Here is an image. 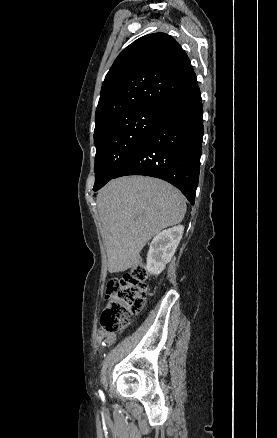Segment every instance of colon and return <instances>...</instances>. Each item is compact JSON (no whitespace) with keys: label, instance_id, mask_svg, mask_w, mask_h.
Returning a JSON list of instances; mask_svg holds the SVG:
<instances>
[{"label":"colon","instance_id":"colon-1","mask_svg":"<svg viewBox=\"0 0 277 438\" xmlns=\"http://www.w3.org/2000/svg\"><path fill=\"white\" fill-rule=\"evenodd\" d=\"M146 276L145 267L136 265L129 275L111 281L107 292L110 295L109 305L101 314L99 333L122 330L141 312L148 295V286L143 279Z\"/></svg>","mask_w":277,"mask_h":438}]
</instances>
